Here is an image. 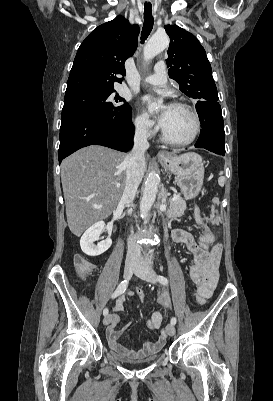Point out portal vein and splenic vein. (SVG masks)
I'll use <instances>...</instances> for the list:
<instances>
[{
	"label": "portal vein and splenic vein",
	"mask_w": 273,
	"mask_h": 401,
	"mask_svg": "<svg viewBox=\"0 0 273 401\" xmlns=\"http://www.w3.org/2000/svg\"><path fill=\"white\" fill-rule=\"evenodd\" d=\"M180 196H182V193L179 194H174V196L171 197L170 202L174 203L175 201H177ZM102 205H96V209H101Z\"/></svg>",
	"instance_id": "obj_1"
}]
</instances>
